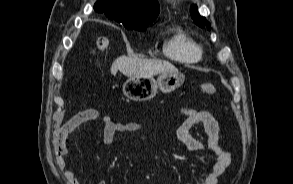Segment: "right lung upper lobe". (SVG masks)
Here are the masks:
<instances>
[{"label":"right lung upper lobe","mask_w":293,"mask_h":184,"mask_svg":"<svg viewBox=\"0 0 293 184\" xmlns=\"http://www.w3.org/2000/svg\"><path fill=\"white\" fill-rule=\"evenodd\" d=\"M94 10L123 25H148L157 18L160 9L157 0H98Z\"/></svg>","instance_id":"cb5924a9"}]
</instances>
